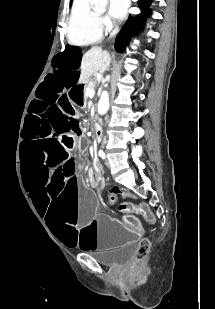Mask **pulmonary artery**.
I'll return each mask as SVG.
<instances>
[{
  "label": "pulmonary artery",
  "mask_w": 215,
  "mask_h": 309,
  "mask_svg": "<svg viewBox=\"0 0 215 309\" xmlns=\"http://www.w3.org/2000/svg\"><path fill=\"white\" fill-rule=\"evenodd\" d=\"M74 15L75 16H86L87 9L89 6V0H74Z\"/></svg>",
  "instance_id": "obj_1"
}]
</instances>
